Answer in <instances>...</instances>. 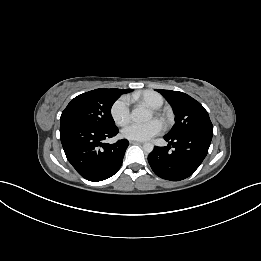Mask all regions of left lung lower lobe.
<instances>
[{"label":"left lung lower lobe","instance_id":"left-lung-lower-lobe-1","mask_svg":"<svg viewBox=\"0 0 261 261\" xmlns=\"http://www.w3.org/2000/svg\"><path fill=\"white\" fill-rule=\"evenodd\" d=\"M212 133L193 132L177 136H165L169 142L167 147H155L148 156L153 172L160 178L180 181L200 166L208 153ZM174 148L169 151L171 146Z\"/></svg>","mask_w":261,"mask_h":261}]
</instances>
